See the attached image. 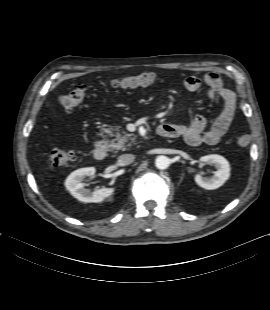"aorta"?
<instances>
[{
	"label": "aorta",
	"instance_id": "1",
	"mask_svg": "<svg viewBox=\"0 0 270 310\" xmlns=\"http://www.w3.org/2000/svg\"><path fill=\"white\" fill-rule=\"evenodd\" d=\"M169 164H170L169 158L163 155L158 156L155 160V165L160 170L168 168Z\"/></svg>",
	"mask_w": 270,
	"mask_h": 310
}]
</instances>
